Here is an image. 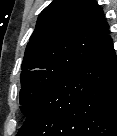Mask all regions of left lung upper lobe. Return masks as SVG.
Returning a JSON list of instances; mask_svg holds the SVG:
<instances>
[{
	"mask_svg": "<svg viewBox=\"0 0 117 136\" xmlns=\"http://www.w3.org/2000/svg\"><path fill=\"white\" fill-rule=\"evenodd\" d=\"M95 0H54L39 15L22 62L20 109L25 115L108 36Z\"/></svg>",
	"mask_w": 117,
	"mask_h": 136,
	"instance_id": "left-lung-upper-lobe-1",
	"label": "left lung upper lobe"
}]
</instances>
